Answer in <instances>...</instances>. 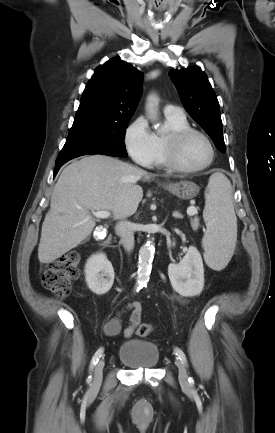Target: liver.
<instances>
[{
  "label": "liver",
  "instance_id": "obj_1",
  "mask_svg": "<svg viewBox=\"0 0 275 433\" xmlns=\"http://www.w3.org/2000/svg\"><path fill=\"white\" fill-rule=\"evenodd\" d=\"M152 176L106 155H91L64 168L51 195L38 246L40 263L49 264L90 236L89 211H110L114 219L133 215L143 198L137 181Z\"/></svg>",
  "mask_w": 275,
  "mask_h": 433
}]
</instances>
